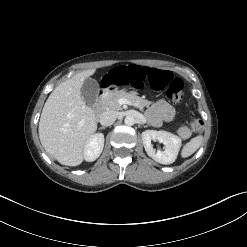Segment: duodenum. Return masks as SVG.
I'll return each mask as SVG.
<instances>
[{"mask_svg": "<svg viewBox=\"0 0 247 247\" xmlns=\"http://www.w3.org/2000/svg\"><path fill=\"white\" fill-rule=\"evenodd\" d=\"M109 90H106L105 88L102 89L98 95V99H97V102H96V105H95V108L96 110L99 112L102 110V106H101V103H100V99L103 97V95L108 92Z\"/></svg>", "mask_w": 247, "mask_h": 247, "instance_id": "410a0bca", "label": "duodenum"}]
</instances>
